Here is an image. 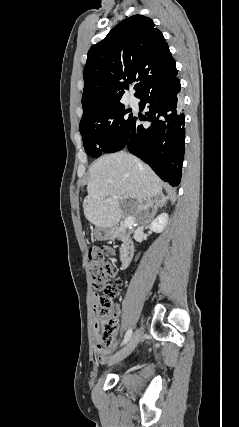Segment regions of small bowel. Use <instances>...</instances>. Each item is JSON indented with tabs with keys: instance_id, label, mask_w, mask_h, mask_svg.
Listing matches in <instances>:
<instances>
[{
	"instance_id": "obj_1",
	"label": "small bowel",
	"mask_w": 239,
	"mask_h": 427,
	"mask_svg": "<svg viewBox=\"0 0 239 427\" xmlns=\"http://www.w3.org/2000/svg\"><path fill=\"white\" fill-rule=\"evenodd\" d=\"M93 300H94V302H97L99 300V297L97 296V294H95L93 296ZM115 315H116V317H118V315H119V310L118 309H115ZM95 334H96L95 335L96 336V340L99 341L98 327H97V325H95ZM110 353H111V349H109L107 351H99V350H97L98 361L100 363L105 362L106 359L109 357Z\"/></svg>"
}]
</instances>
